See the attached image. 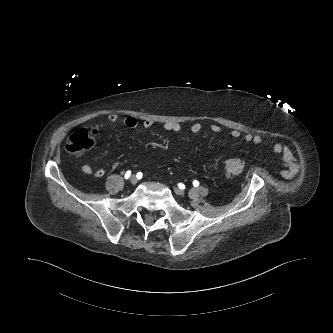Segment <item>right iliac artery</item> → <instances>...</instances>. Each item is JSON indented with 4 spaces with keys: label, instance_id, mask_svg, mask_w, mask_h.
Wrapping results in <instances>:
<instances>
[{
    "label": "right iliac artery",
    "instance_id": "82829eb1",
    "mask_svg": "<svg viewBox=\"0 0 333 333\" xmlns=\"http://www.w3.org/2000/svg\"><path fill=\"white\" fill-rule=\"evenodd\" d=\"M130 175H131V171H127L126 173H125V179H128L129 177H130Z\"/></svg>",
    "mask_w": 333,
    "mask_h": 333
}]
</instances>
